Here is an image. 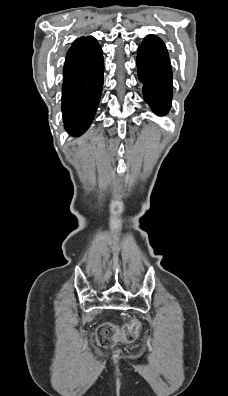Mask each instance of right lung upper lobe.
Here are the masks:
<instances>
[{
    "instance_id": "1",
    "label": "right lung upper lobe",
    "mask_w": 228,
    "mask_h": 396,
    "mask_svg": "<svg viewBox=\"0 0 228 396\" xmlns=\"http://www.w3.org/2000/svg\"><path fill=\"white\" fill-rule=\"evenodd\" d=\"M77 42L80 43L81 45L91 47L96 43V40L93 37L88 36L77 39Z\"/></svg>"
}]
</instances>
